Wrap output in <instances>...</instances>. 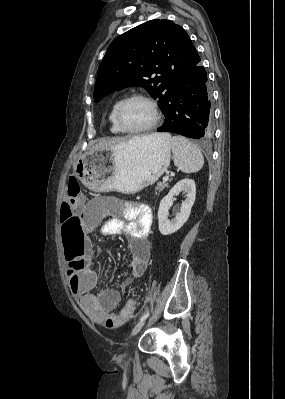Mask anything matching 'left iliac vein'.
Segmentation results:
<instances>
[{
	"mask_svg": "<svg viewBox=\"0 0 285 399\" xmlns=\"http://www.w3.org/2000/svg\"><path fill=\"white\" fill-rule=\"evenodd\" d=\"M145 323H146V319L137 323V325L134 327L131 335L135 336L136 334H138L140 332V330L143 328V326L145 325Z\"/></svg>",
	"mask_w": 285,
	"mask_h": 399,
	"instance_id": "1",
	"label": "left iliac vein"
}]
</instances>
